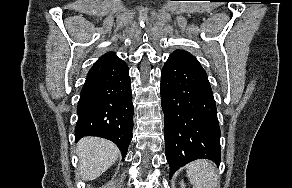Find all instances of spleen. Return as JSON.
I'll use <instances>...</instances> for the list:
<instances>
[{
    "label": "spleen",
    "instance_id": "spleen-1",
    "mask_svg": "<svg viewBox=\"0 0 292 188\" xmlns=\"http://www.w3.org/2000/svg\"><path fill=\"white\" fill-rule=\"evenodd\" d=\"M187 176L193 188H217L219 184L215 166L206 159L189 163Z\"/></svg>",
    "mask_w": 292,
    "mask_h": 188
}]
</instances>
